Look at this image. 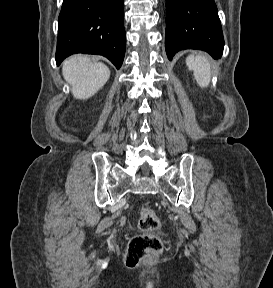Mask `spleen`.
Returning <instances> with one entry per match:
<instances>
[{"label": "spleen", "mask_w": 273, "mask_h": 288, "mask_svg": "<svg viewBox=\"0 0 273 288\" xmlns=\"http://www.w3.org/2000/svg\"><path fill=\"white\" fill-rule=\"evenodd\" d=\"M186 65L193 71L195 80L202 88L208 87L211 80V65L206 56L189 55L186 58Z\"/></svg>", "instance_id": "1"}]
</instances>
